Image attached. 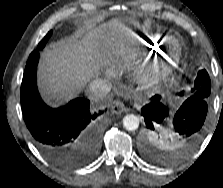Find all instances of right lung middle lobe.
<instances>
[{
	"label": "right lung middle lobe",
	"mask_w": 223,
	"mask_h": 188,
	"mask_svg": "<svg viewBox=\"0 0 223 188\" xmlns=\"http://www.w3.org/2000/svg\"><path fill=\"white\" fill-rule=\"evenodd\" d=\"M52 34V31L48 32V34L42 39V41L39 43L38 47H37V50H41L46 42L48 41L49 37L51 36ZM97 153V152H96Z\"/></svg>",
	"instance_id": "right-lung-middle-lobe-1"
}]
</instances>
